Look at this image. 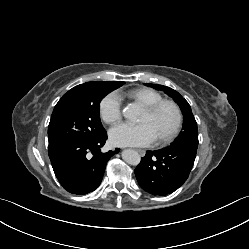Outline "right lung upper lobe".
<instances>
[{
	"instance_id": "right-lung-upper-lobe-1",
	"label": "right lung upper lobe",
	"mask_w": 249,
	"mask_h": 249,
	"mask_svg": "<svg viewBox=\"0 0 249 249\" xmlns=\"http://www.w3.org/2000/svg\"><path fill=\"white\" fill-rule=\"evenodd\" d=\"M89 84H98V85H103L106 87H110L112 89H117L120 86H122L124 84V82L122 81H111V82H87L81 85H78L74 88H72L71 90H69L66 94H64L62 96V98L59 100L58 103H60L61 101L65 100L67 97H69L70 95H72L79 87L85 86V85H89Z\"/></svg>"
}]
</instances>
